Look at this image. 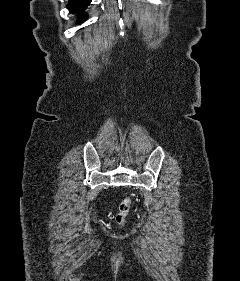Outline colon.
I'll list each match as a JSON object with an SVG mask.
<instances>
[{"instance_id": "5ec220e1", "label": "colon", "mask_w": 240, "mask_h": 281, "mask_svg": "<svg viewBox=\"0 0 240 281\" xmlns=\"http://www.w3.org/2000/svg\"><path fill=\"white\" fill-rule=\"evenodd\" d=\"M131 205H132V200L129 197L124 198L121 201L119 205V210L115 216V220L119 225H124L126 217L130 211Z\"/></svg>"}]
</instances>
